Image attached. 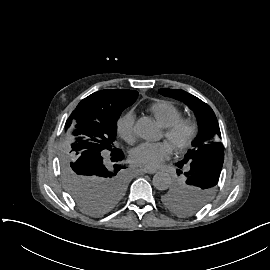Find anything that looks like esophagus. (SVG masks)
<instances>
[{
	"label": "esophagus",
	"mask_w": 270,
	"mask_h": 270,
	"mask_svg": "<svg viewBox=\"0 0 270 270\" xmlns=\"http://www.w3.org/2000/svg\"><path fill=\"white\" fill-rule=\"evenodd\" d=\"M141 173H148V174H153L156 172L155 168H143L140 170Z\"/></svg>",
	"instance_id": "34e87169"
}]
</instances>
